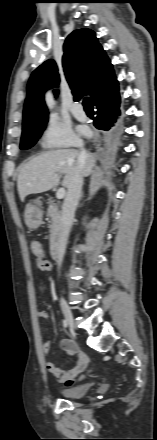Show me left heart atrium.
Wrapping results in <instances>:
<instances>
[{"label":"left heart atrium","mask_w":157,"mask_h":440,"mask_svg":"<svg viewBox=\"0 0 157 440\" xmlns=\"http://www.w3.org/2000/svg\"><path fill=\"white\" fill-rule=\"evenodd\" d=\"M77 129L82 135H88L90 133V130L86 125H78Z\"/></svg>","instance_id":"1"}]
</instances>
